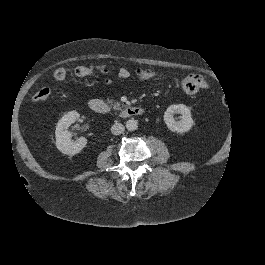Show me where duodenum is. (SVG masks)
I'll return each mask as SVG.
<instances>
[{
    "instance_id": "obj_1",
    "label": "duodenum",
    "mask_w": 265,
    "mask_h": 265,
    "mask_svg": "<svg viewBox=\"0 0 265 265\" xmlns=\"http://www.w3.org/2000/svg\"><path fill=\"white\" fill-rule=\"evenodd\" d=\"M89 107L92 111L99 114H108L110 107L103 100L94 98L89 101ZM144 113V109L138 106H130L121 111L120 115L123 118L140 116Z\"/></svg>"
}]
</instances>
